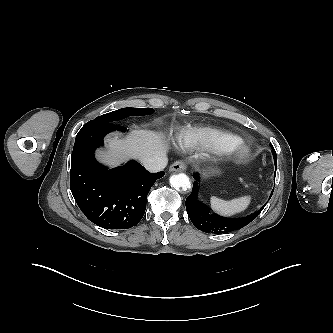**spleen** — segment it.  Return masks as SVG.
<instances>
[{
  "label": "spleen",
  "instance_id": "obj_1",
  "mask_svg": "<svg viewBox=\"0 0 333 333\" xmlns=\"http://www.w3.org/2000/svg\"><path fill=\"white\" fill-rule=\"evenodd\" d=\"M250 201V196H244L230 201L213 196L211 197L210 203L215 212L223 216H231L244 211L250 204Z\"/></svg>",
  "mask_w": 333,
  "mask_h": 333
}]
</instances>
